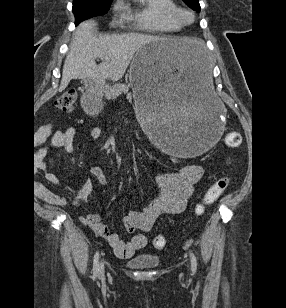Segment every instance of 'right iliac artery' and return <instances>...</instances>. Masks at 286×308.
Segmentation results:
<instances>
[{"label": "right iliac artery", "mask_w": 286, "mask_h": 308, "mask_svg": "<svg viewBox=\"0 0 286 308\" xmlns=\"http://www.w3.org/2000/svg\"><path fill=\"white\" fill-rule=\"evenodd\" d=\"M99 271V252L97 251L93 259V278L95 279Z\"/></svg>", "instance_id": "right-iliac-artery-1"}]
</instances>
